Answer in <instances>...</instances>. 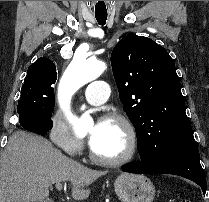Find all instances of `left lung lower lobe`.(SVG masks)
Masks as SVG:
<instances>
[{
	"label": "left lung lower lobe",
	"mask_w": 209,
	"mask_h": 202,
	"mask_svg": "<svg viewBox=\"0 0 209 202\" xmlns=\"http://www.w3.org/2000/svg\"><path fill=\"white\" fill-rule=\"evenodd\" d=\"M141 161L132 162L122 168L124 172L140 174H173L185 177L197 183L203 193L206 192V177L200 164V157L195 139H190L177 146L161 159H151L140 155Z\"/></svg>",
	"instance_id": "0a47b994"
}]
</instances>
